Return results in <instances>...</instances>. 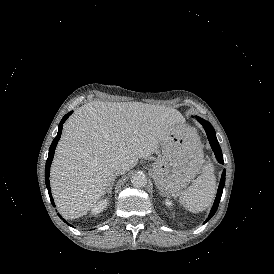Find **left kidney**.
<instances>
[{
  "label": "left kidney",
  "mask_w": 274,
  "mask_h": 274,
  "mask_svg": "<svg viewBox=\"0 0 274 274\" xmlns=\"http://www.w3.org/2000/svg\"><path fill=\"white\" fill-rule=\"evenodd\" d=\"M166 204H167V206H170V205H171V203H170L169 201H167Z\"/></svg>",
  "instance_id": "left-kidney-1"
}]
</instances>
